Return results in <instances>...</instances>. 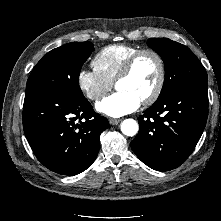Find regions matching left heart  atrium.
<instances>
[{"mask_svg": "<svg viewBox=\"0 0 221 221\" xmlns=\"http://www.w3.org/2000/svg\"><path fill=\"white\" fill-rule=\"evenodd\" d=\"M141 100L127 91H118L99 102L97 110L111 117H121L139 108Z\"/></svg>", "mask_w": 221, "mask_h": 221, "instance_id": "obj_1", "label": "left heart atrium"}]
</instances>
